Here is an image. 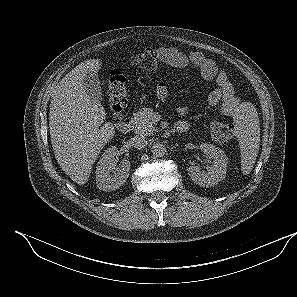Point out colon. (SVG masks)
<instances>
[{"instance_id":"5ec220e1","label":"colon","mask_w":297,"mask_h":297,"mask_svg":"<svg viewBox=\"0 0 297 297\" xmlns=\"http://www.w3.org/2000/svg\"><path fill=\"white\" fill-rule=\"evenodd\" d=\"M132 64L142 70L155 72L159 69L158 54L153 49H147L132 57ZM108 99L112 114L119 119L127 106L126 79L120 70H113L108 81ZM213 139L226 143L233 139L235 131L231 124L215 120L210 125Z\"/></svg>"}]
</instances>
